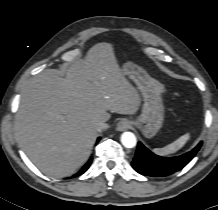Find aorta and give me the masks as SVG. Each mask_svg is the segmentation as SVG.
I'll list each match as a JSON object with an SVG mask.
<instances>
[{
  "label": "aorta",
  "mask_w": 218,
  "mask_h": 210,
  "mask_svg": "<svg viewBox=\"0 0 218 210\" xmlns=\"http://www.w3.org/2000/svg\"><path fill=\"white\" fill-rule=\"evenodd\" d=\"M121 142L126 148H133L136 146L137 140L132 132H124L121 135Z\"/></svg>",
  "instance_id": "obj_1"
}]
</instances>
